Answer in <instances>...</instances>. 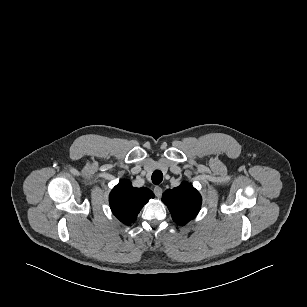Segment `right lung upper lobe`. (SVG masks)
<instances>
[{"mask_svg":"<svg viewBox=\"0 0 307 307\" xmlns=\"http://www.w3.org/2000/svg\"><path fill=\"white\" fill-rule=\"evenodd\" d=\"M150 198H154L151 190L134 188L129 180H122L111 191L109 202L113 214L122 223L130 225Z\"/></svg>","mask_w":307,"mask_h":307,"instance_id":"1","label":"right lung upper lobe"}]
</instances>
